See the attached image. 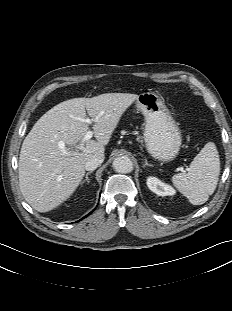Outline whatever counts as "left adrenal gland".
Returning a JSON list of instances; mask_svg holds the SVG:
<instances>
[{"mask_svg": "<svg viewBox=\"0 0 232 311\" xmlns=\"http://www.w3.org/2000/svg\"><path fill=\"white\" fill-rule=\"evenodd\" d=\"M146 166L152 167L153 165L149 164V163L147 162V159H145V164H143V167H146Z\"/></svg>", "mask_w": 232, "mask_h": 311, "instance_id": "obj_1", "label": "left adrenal gland"}]
</instances>
